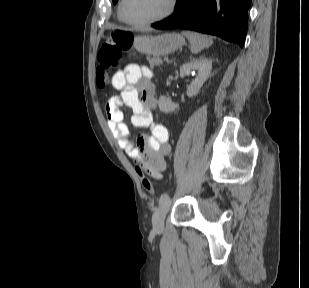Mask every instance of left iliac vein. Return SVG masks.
Wrapping results in <instances>:
<instances>
[{"instance_id":"obj_1","label":"left iliac vein","mask_w":309,"mask_h":288,"mask_svg":"<svg viewBox=\"0 0 309 288\" xmlns=\"http://www.w3.org/2000/svg\"><path fill=\"white\" fill-rule=\"evenodd\" d=\"M200 190V187H197L194 190V193H198ZM171 206V201L170 200H165L160 203V206L156 210V212L153 215V228L155 231H162L164 228V221L167 212L169 211Z\"/></svg>"}]
</instances>
